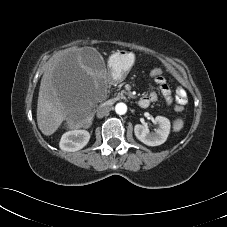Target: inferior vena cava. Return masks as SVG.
Returning <instances> with one entry per match:
<instances>
[{
    "label": "inferior vena cava",
    "instance_id": "602c4592",
    "mask_svg": "<svg viewBox=\"0 0 227 227\" xmlns=\"http://www.w3.org/2000/svg\"><path fill=\"white\" fill-rule=\"evenodd\" d=\"M111 110V107L106 104H102L97 108V117L103 118L104 116H107Z\"/></svg>",
    "mask_w": 227,
    "mask_h": 227
}]
</instances>
